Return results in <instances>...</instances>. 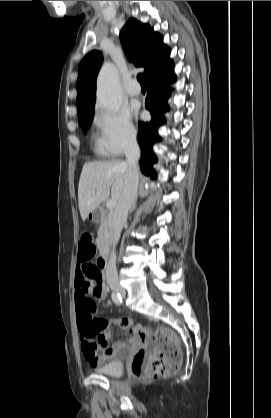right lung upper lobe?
Instances as JSON below:
<instances>
[{"instance_id":"obj_1","label":"right lung upper lobe","mask_w":271,"mask_h":418,"mask_svg":"<svg viewBox=\"0 0 271 418\" xmlns=\"http://www.w3.org/2000/svg\"><path fill=\"white\" fill-rule=\"evenodd\" d=\"M120 39L127 52L128 59L136 66L145 68V78L170 61V49L163 44L162 36L154 32L148 24H142L134 18L129 19L120 33ZM102 60L101 52L92 51L79 64L77 79L78 116L94 109L96 77Z\"/></svg>"}]
</instances>
